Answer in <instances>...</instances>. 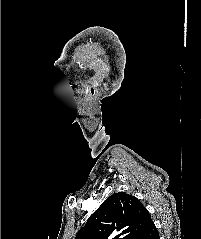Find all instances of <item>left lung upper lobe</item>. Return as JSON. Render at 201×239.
<instances>
[{"mask_svg":"<svg viewBox=\"0 0 201 239\" xmlns=\"http://www.w3.org/2000/svg\"><path fill=\"white\" fill-rule=\"evenodd\" d=\"M151 217L135 197L114 193L89 217L75 239H137Z\"/></svg>","mask_w":201,"mask_h":239,"instance_id":"1","label":"left lung upper lobe"}]
</instances>
